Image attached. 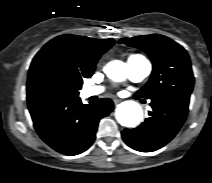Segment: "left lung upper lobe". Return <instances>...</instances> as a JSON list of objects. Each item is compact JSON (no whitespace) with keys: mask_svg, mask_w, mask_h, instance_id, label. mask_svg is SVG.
<instances>
[{"mask_svg":"<svg viewBox=\"0 0 212 183\" xmlns=\"http://www.w3.org/2000/svg\"><path fill=\"white\" fill-rule=\"evenodd\" d=\"M119 42L145 51L153 62L151 78L136 97H190L194 76L189 56L181 45L159 34L123 38Z\"/></svg>","mask_w":212,"mask_h":183,"instance_id":"left-lung-upper-lobe-1","label":"left lung upper lobe"}]
</instances>
